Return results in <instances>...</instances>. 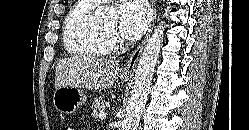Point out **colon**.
Segmentation results:
<instances>
[{"instance_id": "colon-1", "label": "colon", "mask_w": 249, "mask_h": 130, "mask_svg": "<svg viewBox=\"0 0 249 130\" xmlns=\"http://www.w3.org/2000/svg\"><path fill=\"white\" fill-rule=\"evenodd\" d=\"M61 130H75V128L71 124H65Z\"/></svg>"}]
</instances>
